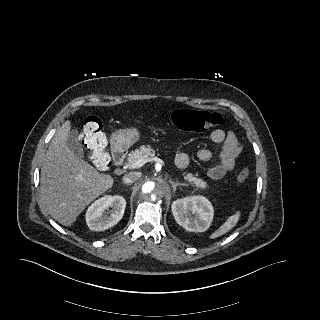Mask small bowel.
<instances>
[{"mask_svg":"<svg viewBox=\"0 0 320 320\" xmlns=\"http://www.w3.org/2000/svg\"><path fill=\"white\" fill-rule=\"evenodd\" d=\"M210 138L212 142L221 144L219 160L208 170L209 177L218 180L233 171L242 147L232 131L225 132L222 129H216L211 133ZM197 157L201 161L208 162L213 158V152L209 149H200L197 152ZM189 160V156L181 152L177 154L175 162L179 168H185L188 166Z\"/></svg>","mask_w":320,"mask_h":320,"instance_id":"obj_1","label":"small bowel"}]
</instances>
